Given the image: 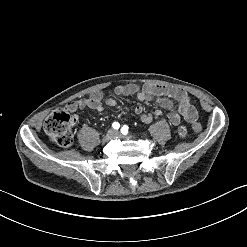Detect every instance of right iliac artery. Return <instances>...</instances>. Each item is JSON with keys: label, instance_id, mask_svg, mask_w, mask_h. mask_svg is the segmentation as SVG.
<instances>
[{"label": "right iliac artery", "instance_id": "82829eb1", "mask_svg": "<svg viewBox=\"0 0 247 247\" xmlns=\"http://www.w3.org/2000/svg\"><path fill=\"white\" fill-rule=\"evenodd\" d=\"M112 127H113L115 130H118L119 127H120V124H119L118 122H114V123L112 124Z\"/></svg>", "mask_w": 247, "mask_h": 247}]
</instances>
